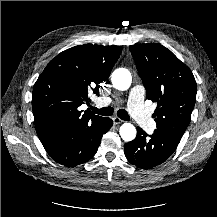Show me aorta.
I'll use <instances>...</instances> for the list:
<instances>
[{"label": "aorta", "mask_w": 217, "mask_h": 217, "mask_svg": "<svg viewBox=\"0 0 217 217\" xmlns=\"http://www.w3.org/2000/svg\"><path fill=\"white\" fill-rule=\"evenodd\" d=\"M114 88L120 91L127 90L132 83V75L125 68H118L112 73L111 77ZM120 136L124 141H132L136 137V128L131 123H124L120 127Z\"/></svg>", "instance_id": "1"}]
</instances>
